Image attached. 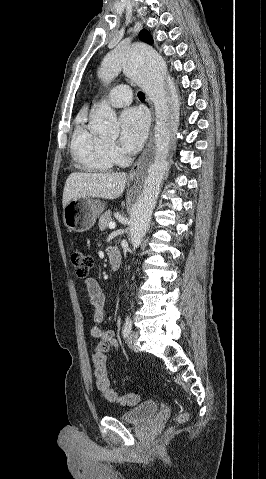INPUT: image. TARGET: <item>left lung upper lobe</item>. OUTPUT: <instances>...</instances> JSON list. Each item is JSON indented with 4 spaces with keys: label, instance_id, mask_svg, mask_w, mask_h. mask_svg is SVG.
I'll return each mask as SVG.
<instances>
[{
    "label": "left lung upper lobe",
    "instance_id": "left-lung-upper-lobe-1",
    "mask_svg": "<svg viewBox=\"0 0 266 479\" xmlns=\"http://www.w3.org/2000/svg\"><path fill=\"white\" fill-rule=\"evenodd\" d=\"M139 38H140V40H142L144 42H147V43H152L153 42L152 37L150 36L149 32H147L146 30H142L139 33Z\"/></svg>",
    "mask_w": 266,
    "mask_h": 479
}]
</instances>
